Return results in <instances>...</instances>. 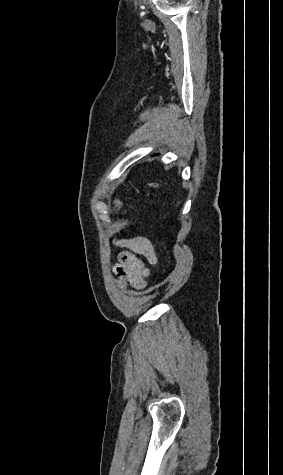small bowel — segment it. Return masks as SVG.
Segmentation results:
<instances>
[{
    "label": "small bowel",
    "instance_id": "1",
    "mask_svg": "<svg viewBox=\"0 0 283 475\" xmlns=\"http://www.w3.org/2000/svg\"><path fill=\"white\" fill-rule=\"evenodd\" d=\"M112 244L110 241L107 243ZM115 247L126 246L129 250L118 255L112 265L116 282L121 288L143 290L149 277L150 266L158 264V256L152 243L144 237H136L128 241H114Z\"/></svg>",
    "mask_w": 283,
    "mask_h": 475
}]
</instances>
